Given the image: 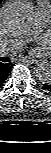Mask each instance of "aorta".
Instances as JSON below:
<instances>
[{
  "mask_svg": "<svg viewBox=\"0 0 51 153\" xmlns=\"http://www.w3.org/2000/svg\"><path fill=\"white\" fill-rule=\"evenodd\" d=\"M2 28L10 35L28 32L33 24V8L24 1H14L1 11ZM34 75L41 83L51 82V65L42 61L34 67Z\"/></svg>",
  "mask_w": 51,
  "mask_h": 153,
  "instance_id": "aorta-1",
  "label": "aorta"
}]
</instances>
